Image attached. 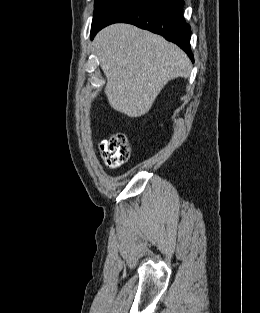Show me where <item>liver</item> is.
Masks as SVG:
<instances>
[{"label":"liver","mask_w":260,"mask_h":313,"mask_svg":"<svg viewBox=\"0 0 260 313\" xmlns=\"http://www.w3.org/2000/svg\"><path fill=\"white\" fill-rule=\"evenodd\" d=\"M94 47L107 79L108 102L129 117L146 114L171 79L186 78L192 69L177 45L130 24L104 28Z\"/></svg>","instance_id":"6515ba94"}]
</instances>
